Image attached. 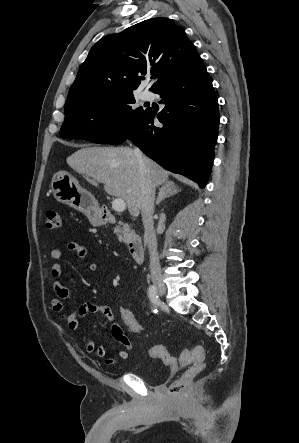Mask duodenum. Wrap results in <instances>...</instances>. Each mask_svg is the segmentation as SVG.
<instances>
[{
    "label": "duodenum",
    "instance_id": "1",
    "mask_svg": "<svg viewBox=\"0 0 299 443\" xmlns=\"http://www.w3.org/2000/svg\"><path fill=\"white\" fill-rule=\"evenodd\" d=\"M99 216H100L101 221L104 223H114L115 222V217L107 209H101ZM127 247H128L131 257L136 262L143 261L144 248H143V243H142V240L140 237H132L131 239H129L127 242Z\"/></svg>",
    "mask_w": 299,
    "mask_h": 443
}]
</instances>
